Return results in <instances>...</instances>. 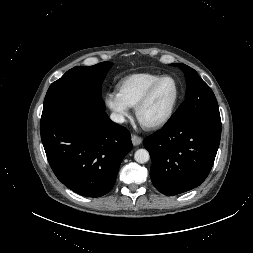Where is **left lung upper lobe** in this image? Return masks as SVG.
I'll list each match as a JSON object with an SVG mask.
<instances>
[{
    "label": "left lung upper lobe",
    "mask_w": 253,
    "mask_h": 253,
    "mask_svg": "<svg viewBox=\"0 0 253 253\" xmlns=\"http://www.w3.org/2000/svg\"><path fill=\"white\" fill-rule=\"evenodd\" d=\"M186 77L185 101L179 106L165 126H173L196 118L220 119L218 103L209 86L200 78L191 67L175 63Z\"/></svg>",
    "instance_id": "1"
}]
</instances>
